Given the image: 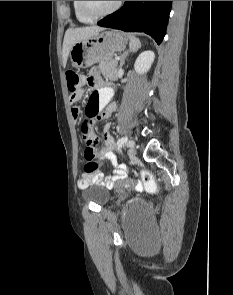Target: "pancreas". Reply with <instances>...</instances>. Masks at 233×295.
Instances as JSON below:
<instances>
[{
    "label": "pancreas",
    "instance_id": "obj_1",
    "mask_svg": "<svg viewBox=\"0 0 233 295\" xmlns=\"http://www.w3.org/2000/svg\"><path fill=\"white\" fill-rule=\"evenodd\" d=\"M117 64L118 62L113 59L105 62H100L99 69L104 76H107L110 79L115 80L119 77L117 73Z\"/></svg>",
    "mask_w": 233,
    "mask_h": 295
}]
</instances>
